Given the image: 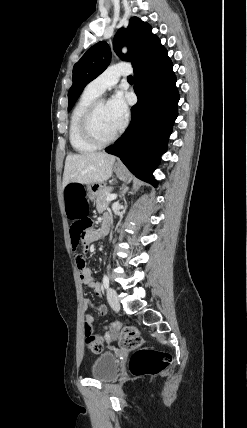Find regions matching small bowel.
<instances>
[{
  "mask_svg": "<svg viewBox=\"0 0 247 428\" xmlns=\"http://www.w3.org/2000/svg\"><path fill=\"white\" fill-rule=\"evenodd\" d=\"M66 205V202H65ZM107 217H104L103 219H105ZM102 236L101 230L97 231L94 229H89L83 236L82 240H83V244L87 247L88 245H90L92 242L98 240L100 237ZM79 271H80V280L83 286L91 288L94 291V294L97 297H101L102 296V288L100 286V284L95 281L91 275V269L87 266H82V267H78ZM87 300V299H85ZM83 307V311L85 313L84 318H91L92 321L94 322V317L87 312V309L89 306H85L82 305ZM85 324V323H84ZM85 326V325H84ZM113 337L110 334H106L105 335V340L110 342L112 341Z\"/></svg>",
  "mask_w": 247,
  "mask_h": 428,
  "instance_id": "small-bowel-1",
  "label": "small bowel"
}]
</instances>
